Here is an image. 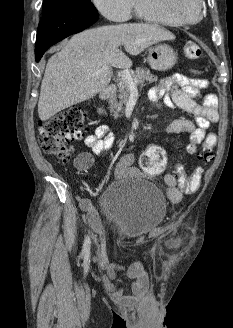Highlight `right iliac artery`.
I'll return each mask as SVG.
<instances>
[{"label": "right iliac artery", "instance_id": "1", "mask_svg": "<svg viewBox=\"0 0 233 328\" xmlns=\"http://www.w3.org/2000/svg\"><path fill=\"white\" fill-rule=\"evenodd\" d=\"M90 244H91L90 238L89 236H87L84 240L83 249H82V256L85 258L89 257Z\"/></svg>", "mask_w": 233, "mask_h": 328}]
</instances>
